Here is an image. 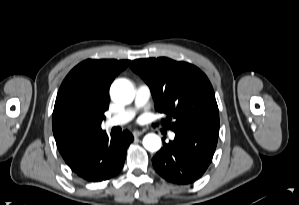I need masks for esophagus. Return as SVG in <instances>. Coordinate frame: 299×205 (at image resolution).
I'll return each mask as SVG.
<instances>
[{
  "label": "esophagus",
  "mask_w": 299,
  "mask_h": 205,
  "mask_svg": "<svg viewBox=\"0 0 299 205\" xmlns=\"http://www.w3.org/2000/svg\"><path fill=\"white\" fill-rule=\"evenodd\" d=\"M142 134H143L142 131H137V130H135V131L133 132V136H134L135 138L141 136Z\"/></svg>",
  "instance_id": "obj_1"
}]
</instances>
